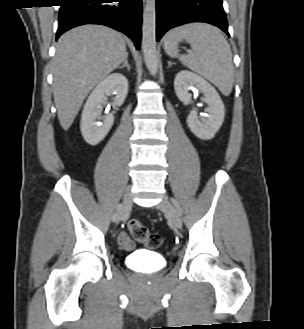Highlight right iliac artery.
<instances>
[{
	"instance_id": "obj_1",
	"label": "right iliac artery",
	"mask_w": 304,
	"mask_h": 329,
	"mask_svg": "<svg viewBox=\"0 0 304 329\" xmlns=\"http://www.w3.org/2000/svg\"><path fill=\"white\" fill-rule=\"evenodd\" d=\"M121 207H122V203L117 205L116 212L112 216V221L113 222L116 221V218L118 216L119 211L121 210Z\"/></svg>"
}]
</instances>
